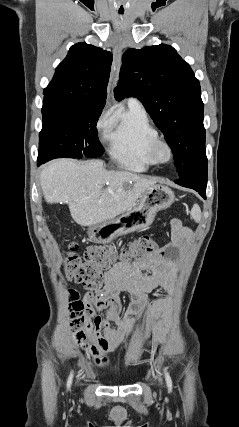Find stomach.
Segmentation results:
<instances>
[{
  "label": "stomach",
  "mask_w": 239,
  "mask_h": 427,
  "mask_svg": "<svg viewBox=\"0 0 239 427\" xmlns=\"http://www.w3.org/2000/svg\"><path fill=\"white\" fill-rule=\"evenodd\" d=\"M175 201L174 192L164 185H153L144 191L137 206L117 218L93 225L88 230L92 242L105 244L118 236L147 228L158 211L165 210Z\"/></svg>",
  "instance_id": "obj_1"
}]
</instances>
